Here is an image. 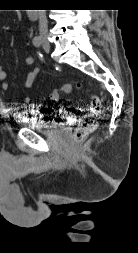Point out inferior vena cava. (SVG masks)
I'll return each mask as SVG.
<instances>
[{
	"label": "inferior vena cava",
	"instance_id": "602c4592",
	"mask_svg": "<svg viewBox=\"0 0 138 253\" xmlns=\"http://www.w3.org/2000/svg\"><path fill=\"white\" fill-rule=\"evenodd\" d=\"M39 32L42 39H47L48 24L46 10H39Z\"/></svg>",
	"mask_w": 138,
	"mask_h": 253
}]
</instances>
